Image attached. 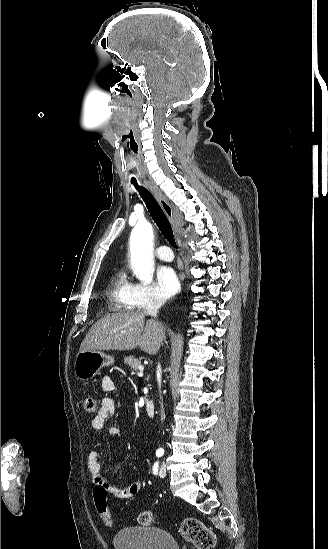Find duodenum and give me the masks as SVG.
<instances>
[{
    "mask_svg": "<svg viewBox=\"0 0 328 549\" xmlns=\"http://www.w3.org/2000/svg\"><path fill=\"white\" fill-rule=\"evenodd\" d=\"M145 409H146V412L149 416H154L155 415L156 406H155V403L153 401L148 400L145 403Z\"/></svg>",
    "mask_w": 328,
    "mask_h": 549,
    "instance_id": "obj_1",
    "label": "duodenum"
}]
</instances>
